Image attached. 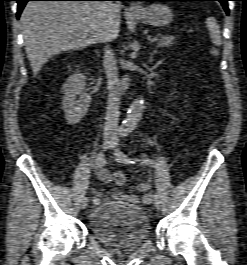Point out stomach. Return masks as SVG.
Wrapping results in <instances>:
<instances>
[{
    "mask_svg": "<svg viewBox=\"0 0 247 265\" xmlns=\"http://www.w3.org/2000/svg\"><path fill=\"white\" fill-rule=\"evenodd\" d=\"M133 14L143 23L157 27L168 25L174 16L172 10L167 5L161 3L151 4L148 7L133 12Z\"/></svg>",
    "mask_w": 247,
    "mask_h": 265,
    "instance_id": "0dacf381",
    "label": "stomach"
}]
</instances>
